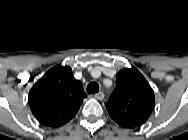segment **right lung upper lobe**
Here are the masks:
<instances>
[{
	"label": "right lung upper lobe",
	"instance_id": "cb5924a9",
	"mask_svg": "<svg viewBox=\"0 0 188 140\" xmlns=\"http://www.w3.org/2000/svg\"><path fill=\"white\" fill-rule=\"evenodd\" d=\"M86 94L68 66L50 69L29 92L28 100L35 118L45 126L60 127L79 110Z\"/></svg>",
	"mask_w": 188,
	"mask_h": 140
}]
</instances>
